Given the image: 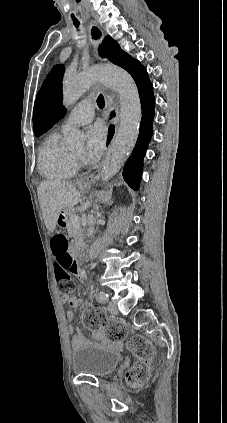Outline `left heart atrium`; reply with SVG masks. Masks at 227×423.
Here are the masks:
<instances>
[{
    "instance_id": "left-heart-atrium-1",
    "label": "left heart atrium",
    "mask_w": 227,
    "mask_h": 423,
    "mask_svg": "<svg viewBox=\"0 0 227 423\" xmlns=\"http://www.w3.org/2000/svg\"><path fill=\"white\" fill-rule=\"evenodd\" d=\"M108 138L105 126L95 125L88 131V144L84 152V159L87 163H96L103 154Z\"/></svg>"
}]
</instances>
